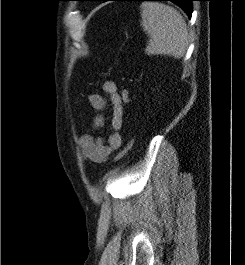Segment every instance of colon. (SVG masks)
I'll return each mask as SVG.
<instances>
[{"label": "colon", "instance_id": "1", "mask_svg": "<svg viewBox=\"0 0 245 265\" xmlns=\"http://www.w3.org/2000/svg\"><path fill=\"white\" fill-rule=\"evenodd\" d=\"M120 94H121L123 103H128L130 101V95L126 89L122 90L120 92ZM132 145H133L132 140H128L126 142L124 148L117 155L116 160H120V159L124 158L129 153V151L131 150Z\"/></svg>", "mask_w": 245, "mask_h": 265}]
</instances>
